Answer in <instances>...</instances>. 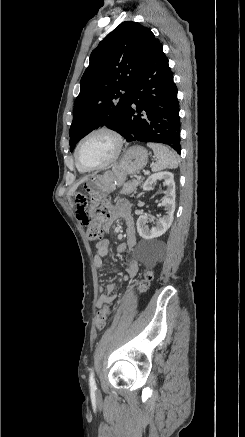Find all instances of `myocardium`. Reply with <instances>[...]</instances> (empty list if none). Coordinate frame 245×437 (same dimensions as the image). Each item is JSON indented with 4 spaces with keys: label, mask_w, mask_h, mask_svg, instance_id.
Returning <instances> with one entry per match:
<instances>
[{
    "label": "myocardium",
    "mask_w": 245,
    "mask_h": 437,
    "mask_svg": "<svg viewBox=\"0 0 245 437\" xmlns=\"http://www.w3.org/2000/svg\"><path fill=\"white\" fill-rule=\"evenodd\" d=\"M97 133H106V134L110 135L114 139L115 144H116L115 151H114L113 155L104 163H101L98 165H86L80 159V156H79L80 147H81L82 143L87 138H89L90 136L97 134ZM124 144H125L124 137L115 128L110 127V126L95 127L93 129L89 130L88 132H86L77 142L76 147H75V151H74L76 163L81 168H83L85 170H98V169L106 168V167L110 166L111 164H113L120 157V155L123 151V148H124Z\"/></svg>",
    "instance_id": "1"
}]
</instances>
